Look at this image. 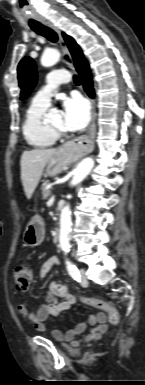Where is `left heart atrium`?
<instances>
[{
  "mask_svg": "<svg viewBox=\"0 0 145 385\" xmlns=\"http://www.w3.org/2000/svg\"><path fill=\"white\" fill-rule=\"evenodd\" d=\"M64 126L69 131H78L86 127L90 119L89 107L85 99L74 95L63 102Z\"/></svg>",
  "mask_w": 145,
  "mask_h": 385,
  "instance_id": "1",
  "label": "left heart atrium"
}]
</instances>
